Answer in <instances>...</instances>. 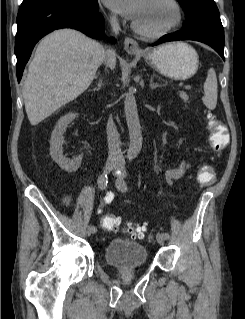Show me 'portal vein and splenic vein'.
<instances>
[{
  "instance_id": "obj_1",
  "label": "portal vein and splenic vein",
  "mask_w": 245,
  "mask_h": 319,
  "mask_svg": "<svg viewBox=\"0 0 245 319\" xmlns=\"http://www.w3.org/2000/svg\"><path fill=\"white\" fill-rule=\"evenodd\" d=\"M185 89H191V86L190 85H186Z\"/></svg>"
}]
</instances>
